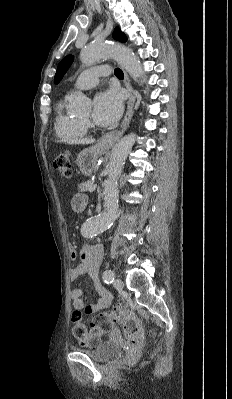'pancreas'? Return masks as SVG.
<instances>
[{"label": "pancreas", "mask_w": 232, "mask_h": 399, "mask_svg": "<svg viewBox=\"0 0 232 399\" xmlns=\"http://www.w3.org/2000/svg\"><path fill=\"white\" fill-rule=\"evenodd\" d=\"M92 184H93L92 180H88V182H83V184H79L78 186L79 192H88Z\"/></svg>", "instance_id": "obj_1"}]
</instances>
